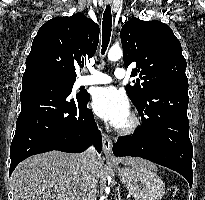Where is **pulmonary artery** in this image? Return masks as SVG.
Here are the masks:
<instances>
[{
    "mask_svg": "<svg viewBox=\"0 0 205 200\" xmlns=\"http://www.w3.org/2000/svg\"><path fill=\"white\" fill-rule=\"evenodd\" d=\"M117 79H123L126 77V71L123 68H117L114 72ZM112 82V78L97 70H92L91 74L80 78V85H94V84H108Z\"/></svg>",
    "mask_w": 205,
    "mask_h": 200,
    "instance_id": "pulmonary-artery-1",
    "label": "pulmonary artery"
}]
</instances>
